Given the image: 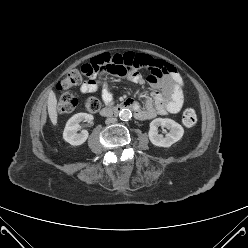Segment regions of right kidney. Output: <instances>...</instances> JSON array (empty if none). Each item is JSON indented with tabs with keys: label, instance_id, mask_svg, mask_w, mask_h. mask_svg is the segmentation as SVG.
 Returning a JSON list of instances; mask_svg holds the SVG:
<instances>
[{
	"label": "right kidney",
	"instance_id": "ca27d5eb",
	"mask_svg": "<svg viewBox=\"0 0 248 248\" xmlns=\"http://www.w3.org/2000/svg\"><path fill=\"white\" fill-rule=\"evenodd\" d=\"M92 120L93 116L87 113H77L73 115L66 123L63 132L64 140L74 146L83 144L87 140L89 133L87 130H82L80 133H77L80 129L79 123L81 121L91 122Z\"/></svg>",
	"mask_w": 248,
	"mask_h": 248
}]
</instances>
